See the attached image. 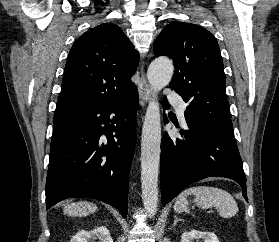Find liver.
Listing matches in <instances>:
<instances>
[{"label":"liver","instance_id":"1","mask_svg":"<svg viewBox=\"0 0 279 242\" xmlns=\"http://www.w3.org/2000/svg\"><path fill=\"white\" fill-rule=\"evenodd\" d=\"M98 207L87 201H80L68 204L64 207V213L68 216H86L96 212Z\"/></svg>","mask_w":279,"mask_h":242}]
</instances>
